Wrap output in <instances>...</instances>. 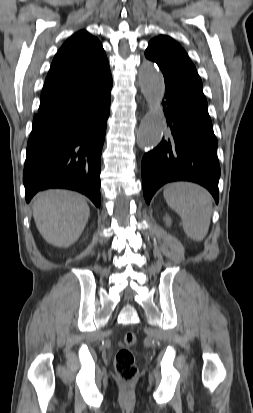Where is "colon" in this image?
I'll use <instances>...</instances> for the list:
<instances>
[{
  "mask_svg": "<svg viewBox=\"0 0 253 413\" xmlns=\"http://www.w3.org/2000/svg\"><path fill=\"white\" fill-rule=\"evenodd\" d=\"M137 344V336L133 332H127L123 338V346L115 356V371L118 378L124 384L132 383L138 374L132 348Z\"/></svg>",
  "mask_w": 253,
  "mask_h": 413,
  "instance_id": "1",
  "label": "colon"
}]
</instances>
